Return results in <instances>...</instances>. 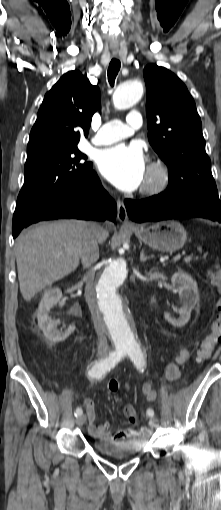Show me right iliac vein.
I'll return each instance as SVG.
<instances>
[{
  "mask_svg": "<svg viewBox=\"0 0 221 510\" xmlns=\"http://www.w3.org/2000/svg\"><path fill=\"white\" fill-rule=\"evenodd\" d=\"M85 422H86V415L85 414H82V415L78 416L77 419H76V423H77L78 426H82Z\"/></svg>",
  "mask_w": 221,
  "mask_h": 510,
  "instance_id": "63e3f726",
  "label": "right iliac vein"
}]
</instances>
